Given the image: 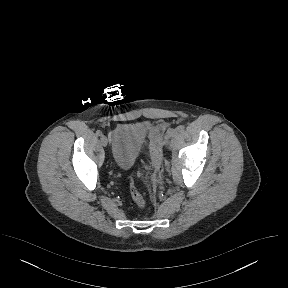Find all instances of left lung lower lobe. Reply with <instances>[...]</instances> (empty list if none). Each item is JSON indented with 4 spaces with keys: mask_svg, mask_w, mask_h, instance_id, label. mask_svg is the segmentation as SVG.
Masks as SVG:
<instances>
[{
    "mask_svg": "<svg viewBox=\"0 0 288 288\" xmlns=\"http://www.w3.org/2000/svg\"><path fill=\"white\" fill-rule=\"evenodd\" d=\"M266 202L263 197H260L259 200L255 203L253 208L247 214L248 221L253 218V221L250 223V226L247 230L251 233H259L264 227L266 221Z\"/></svg>",
    "mask_w": 288,
    "mask_h": 288,
    "instance_id": "left-lung-lower-lobe-1",
    "label": "left lung lower lobe"
}]
</instances>
